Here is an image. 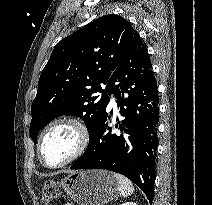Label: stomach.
Segmentation results:
<instances>
[{"instance_id":"0dacf381","label":"stomach","mask_w":212,"mask_h":205,"mask_svg":"<svg viewBox=\"0 0 212 205\" xmlns=\"http://www.w3.org/2000/svg\"><path fill=\"white\" fill-rule=\"evenodd\" d=\"M59 186L79 205H104L119 193L114 174L106 170L72 172Z\"/></svg>"}]
</instances>
